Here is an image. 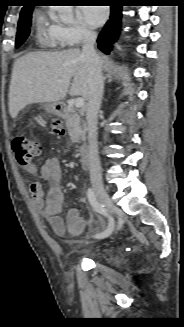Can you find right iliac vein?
<instances>
[{"label":"right iliac vein","mask_w":184,"mask_h":327,"mask_svg":"<svg viewBox=\"0 0 184 327\" xmlns=\"http://www.w3.org/2000/svg\"><path fill=\"white\" fill-rule=\"evenodd\" d=\"M93 189L100 202L106 207L108 212L111 214L115 210V206L112 200L110 199L104 185L100 181H95L93 182Z\"/></svg>","instance_id":"1"}]
</instances>
